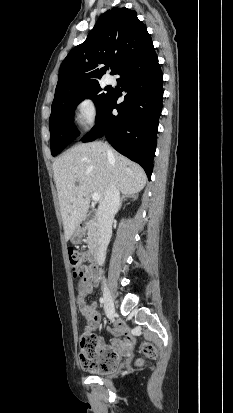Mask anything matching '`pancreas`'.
<instances>
[{
	"instance_id": "pancreas-1",
	"label": "pancreas",
	"mask_w": 233,
	"mask_h": 413,
	"mask_svg": "<svg viewBox=\"0 0 233 413\" xmlns=\"http://www.w3.org/2000/svg\"><path fill=\"white\" fill-rule=\"evenodd\" d=\"M87 241L88 244L93 247L98 239H99V229H98V225L94 222H89L87 225Z\"/></svg>"
}]
</instances>
